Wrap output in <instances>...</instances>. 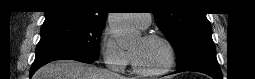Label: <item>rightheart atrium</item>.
Wrapping results in <instances>:
<instances>
[{
	"mask_svg": "<svg viewBox=\"0 0 255 79\" xmlns=\"http://www.w3.org/2000/svg\"><path fill=\"white\" fill-rule=\"evenodd\" d=\"M102 54L105 62L119 72L124 71L131 60L129 53L107 32L102 37Z\"/></svg>",
	"mask_w": 255,
	"mask_h": 79,
	"instance_id": "d8ad5b80",
	"label": "right heart atrium"
}]
</instances>
